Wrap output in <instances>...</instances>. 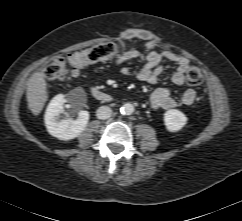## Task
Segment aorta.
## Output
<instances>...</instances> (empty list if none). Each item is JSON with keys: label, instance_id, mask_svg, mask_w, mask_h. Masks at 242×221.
Segmentation results:
<instances>
[{"label": "aorta", "instance_id": "aorta-1", "mask_svg": "<svg viewBox=\"0 0 242 221\" xmlns=\"http://www.w3.org/2000/svg\"><path fill=\"white\" fill-rule=\"evenodd\" d=\"M120 112L124 115H131L134 112V106L131 103H125L120 108Z\"/></svg>", "mask_w": 242, "mask_h": 221}]
</instances>
